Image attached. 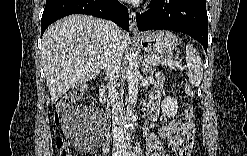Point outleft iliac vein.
Listing matches in <instances>:
<instances>
[{
  "label": "left iliac vein",
  "instance_id": "1",
  "mask_svg": "<svg viewBox=\"0 0 247 156\" xmlns=\"http://www.w3.org/2000/svg\"><path fill=\"white\" fill-rule=\"evenodd\" d=\"M123 154L125 155V156H130V155H132V156H134V153L133 152H128L126 149H124L123 150Z\"/></svg>",
  "mask_w": 247,
  "mask_h": 156
}]
</instances>
